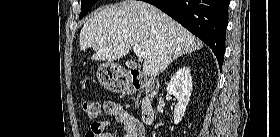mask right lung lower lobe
<instances>
[{
	"mask_svg": "<svg viewBox=\"0 0 280 137\" xmlns=\"http://www.w3.org/2000/svg\"><path fill=\"white\" fill-rule=\"evenodd\" d=\"M142 1L156 6L200 38L212 49L219 66H222L229 0Z\"/></svg>",
	"mask_w": 280,
	"mask_h": 137,
	"instance_id": "obj_1",
	"label": "right lung lower lobe"
}]
</instances>
